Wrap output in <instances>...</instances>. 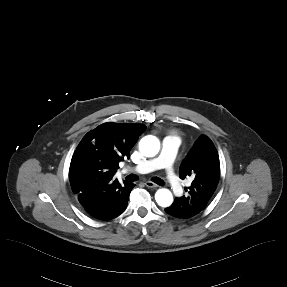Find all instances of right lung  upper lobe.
<instances>
[{"label":"right lung upper lobe","instance_id":"1","mask_svg":"<svg viewBox=\"0 0 287 287\" xmlns=\"http://www.w3.org/2000/svg\"><path fill=\"white\" fill-rule=\"evenodd\" d=\"M143 124L104 123L88 132L79 143L71 160L69 178L73 193L77 196L89 182L76 176L82 163L99 161L107 171L105 178H112L119 162L130 157V150L144 132Z\"/></svg>","mask_w":287,"mask_h":287}]
</instances>
